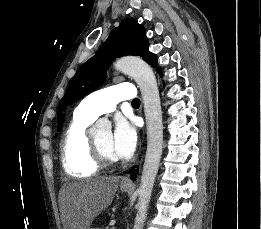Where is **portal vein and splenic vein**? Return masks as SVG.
<instances>
[{
    "label": "portal vein and splenic vein",
    "instance_id": "portal-vein-and-splenic-vein-1",
    "mask_svg": "<svg viewBox=\"0 0 261 229\" xmlns=\"http://www.w3.org/2000/svg\"><path fill=\"white\" fill-rule=\"evenodd\" d=\"M110 229H116V227L115 226H111Z\"/></svg>",
    "mask_w": 261,
    "mask_h": 229
}]
</instances>
